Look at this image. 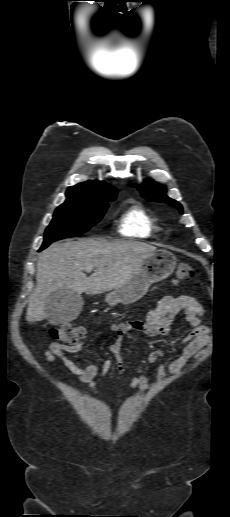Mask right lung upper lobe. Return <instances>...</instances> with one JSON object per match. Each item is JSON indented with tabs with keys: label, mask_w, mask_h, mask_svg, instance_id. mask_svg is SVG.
<instances>
[{
	"label": "right lung upper lobe",
	"mask_w": 230,
	"mask_h": 517,
	"mask_svg": "<svg viewBox=\"0 0 230 517\" xmlns=\"http://www.w3.org/2000/svg\"><path fill=\"white\" fill-rule=\"evenodd\" d=\"M111 192H116V189L105 182L86 181L69 187L66 197L68 201H84L96 199Z\"/></svg>",
	"instance_id": "right-lung-upper-lobe-1"
}]
</instances>
